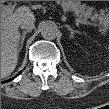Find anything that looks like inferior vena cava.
Wrapping results in <instances>:
<instances>
[{"instance_id":"obj_1","label":"inferior vena cava","mask_w":109,"mask_h":109,"mask_svg":"<svg viewBox=\"0 0 109 109\" xmlns=\"http://www.w3.org/2000/svg\"><path fill=\"white\" fill-rule=\"evenodd\" d=\"M20 27L24 30L31 31L35 28L34 21H23L20 23Z\"/></svg>"}]
</instances>
